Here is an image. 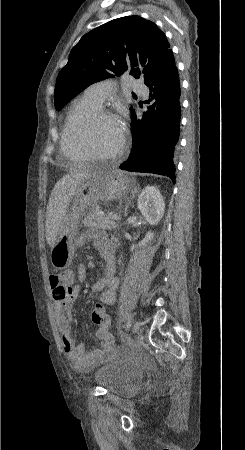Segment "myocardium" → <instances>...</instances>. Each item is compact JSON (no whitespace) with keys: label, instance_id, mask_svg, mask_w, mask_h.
<instances>
[{"label":"myocardium","instance_id":"myocardium-1","mask_svg":"<svg viewBox=\"0 0 245 450\" xmlns=\"http://www.w3.org/2000/svg\"><path fill=\"white\" fill-rule=\"evenodd\" d=\"M101 120H113L120 123L118 118L113 113L106 111L102 108L97 109L92 114H90V116L86 119L83 125L84 129L79 133V140L81 146L86 151L89 159L91 160L107 161L122 157L127 147V137L124 128H122L120 146L115 151L108 154H101L95 150L92 143V132L95 125Z\"/></svg>","mask_w":245,"mask_h":450}]
</instances>
